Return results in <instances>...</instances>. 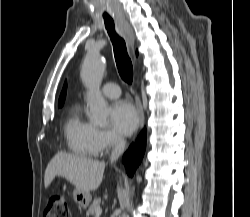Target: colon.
<instances>
[{
    "label": "colon",
    "mask_w": 250,
    "mask_h": 217,
    "mask_svg": "<svg viewBox=\"0 0 250 217\" xmlns=\"http://www.w3.org/2000/svg\"><path fill=\"white\" fill-rule=\"evenodd\" d=\"M43 217H70L65 197L58 194L50 196Z\"/></svg>",
    "instance_id": "1"
}]
</instances>
